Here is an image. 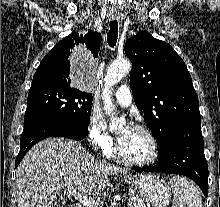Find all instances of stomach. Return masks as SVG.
I'll list each match as a JSON object with an SVG mask.
<instances>
[{"label": "stomach", "instance_id": "obj_1", "mask_svg": "<svg viewBox=\"0 0 220 207\" xmlns=\"http://www.w3.org/2000/svg\"><path fill=\"white\" fill-rule=\"evenodd\" d=\"M124 181L138 191L146 202L155 207H166L171 199V188L158 174L124 176Z\"/></svg>", "mask_w": 220, "mask_h": 207}]
</instances>
